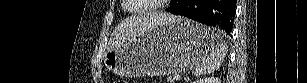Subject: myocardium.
Instances as JSON below:
<instances>
[{"instance_id":"1","label":"myocardium","mask_w":307,"mask_h":83,"mask_svg":"<svg viewBox=\"0 0 307 83\" xmlns=\"http://www.w3.org/2000/svg\"><path fill=\"white\" fill-rule=\"evenodd\" d=\"M124 1L128 2V4L126 5V9L129 12H132V13H135V14H142V13H148V12H151L153 10L162 8L163 3H166L168 0H159L158 4H151V5L146 6L145 8H141V9H137V10L133 9L130 6L129 0H124Z\"/></svg>"}]
</instances>
